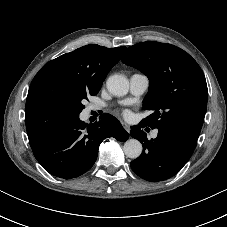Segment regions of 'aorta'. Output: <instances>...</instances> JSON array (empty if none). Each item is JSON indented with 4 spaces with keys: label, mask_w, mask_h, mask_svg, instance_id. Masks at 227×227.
I'll list each match as a JSON object with an SVG mask.
<instances>
[{
    "label": "aorta",
    "mask_w": 227,
    "mask_h": 227,
    "mask_svg": "<svg viewBox=\"0 0 227 227\" xmlns=\"http://www.w3.org/2000/svg\"><path fill=\"white\" fill-rule=\"evenodd\" d=\"M106 86L108 91L115 96H124L129 90L127 79L118 74L110 76ZM123 151L128 158L136 159L142 153V144L136 139H129L125 142Z\"/></svg>",
    "instance_id": "762f6f07"
}]
</instances>
